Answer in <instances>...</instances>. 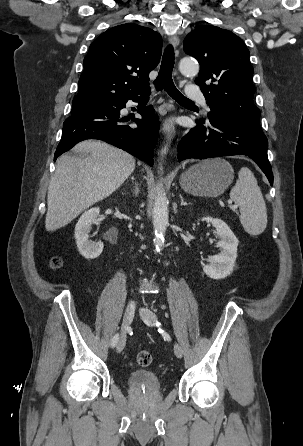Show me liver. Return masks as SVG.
Masks as SVG:
<instances>
[{
  "label": "liver",
  "mask_w": 303,
  "mask_h": 446,
  "mask_svg": "<svg viewBox=\"0 0 303 446\" xmlns=\"http://www.w3.org/2000/svg\"><path fill=\"white\" fill-rule=\"evenodd\" d=\"M79 156L62 155L56 163L47 195L45 227L55 231L83 210L115 192L135 169V159L101 141L77 144Z\"/></svg>",
  "instance_id": "1"
}]
</instances>
